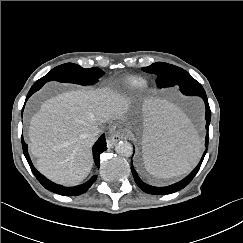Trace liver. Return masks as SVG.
<instances>
[{"mask_svg": "<svg viewBox=\"0 0 243 243\" xmlns=\"http://www.w3.org/2000/svg\"><path fill=\"white\" fill-rule=\"evenodd\" d=\"M126 109L125 98L107 87L78 89L46 100L32 116L28 133L37 169L59 184L81 183L93 165L94 132Z\"/></svg>", "mask_w": 243, "mask_h": 243, "instance_id": "liver-1", "label": "liver"}]
</instances>
